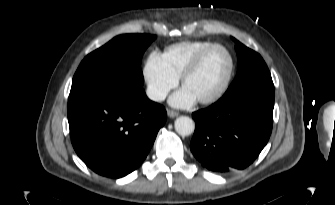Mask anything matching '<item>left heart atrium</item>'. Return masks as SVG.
Listing matches in <instances>:
<instances>
[{
	"label": "left heart atrium",
	"mask_w": 335,
	"mask_h": 205,
	"mask_svg": "<svg viewBox=\"0 0 335 205\" xmlns=\"http://www.w3.org/2000/svg\"><path fill=\"white\" fill-rule=\"evenodd\" d=\"M197 99L185 87L172 95L170 103L175 107H189L193 105Z\"/></svg>",
	"instance_id": "left-heart-atrium-1"
}]
</instances>
